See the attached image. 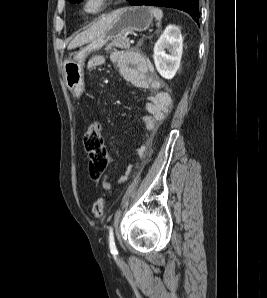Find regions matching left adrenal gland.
I'll return each mask as SVG.
<instances>
[{
  "label": "left adrenal gland",
  "mask_w": 267,
  "mask_h": 298,
  "mask_svg": "<svg viewBox=\"0 0 267 298\" xmlns=\"http://www.w3.org/2000/svg\"><path fill=\"white\" fill-rule=\"evenodd\" d=\"M143 42V39H141V41L139 42L140 44Z\"/></svg>",
  "instance_id": "obj_1"
}]
</instances>
